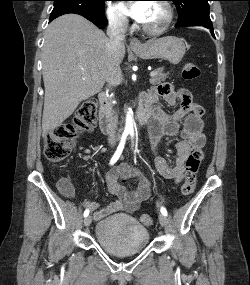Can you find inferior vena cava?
Segmentation results:
<instances>
[{
    "label": "inferior vena cava",
    "mask_w": 250,
    "mask_h": 285,
    "mask_svg": "<svg viewBox=\"0 0 250 285\" xmlns=\"http://www.w3.org/2000/svg\"><path fill=\"white\" fill-rule=\"evenodd\" d=\"M127 28L128 20L125 16L115 14L110 17L107 28L109 39L107 41L108 60L106 63V81L113 87L118 86L122 80L119 49L124 44ZM117 123L118 117L115 115L110 123V133L108 137V142L111 145L116 143Z\"/></svg>",
    "instance_id": "inferior-vena-cava-1"
}]
</instances>
